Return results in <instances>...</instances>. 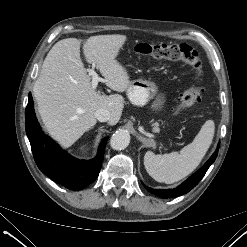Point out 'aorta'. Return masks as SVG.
Instances as JSON below:
<instances>
[{
    "instance_id": "aorta-1",
    "label": "aorta",
    "mask_w": 247,
    "mask_h": 247,
    "mask_svg": "<svg viewBox=\"0 0 247 247\" xmlns=\"http://www.w3.org/2000/svg\"><path fill=\"white\" fill-rule=\"evenodd\" d=\"M130 143V135L124 130L116 131L110 139V146L114 150H124Z\"/></svg>"
}]
</instances>
